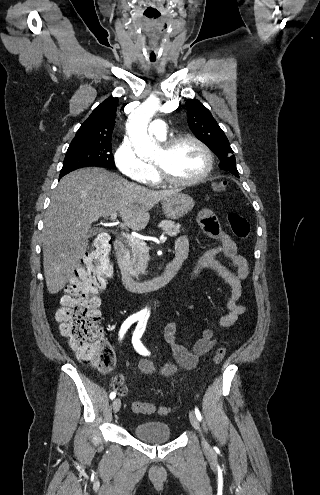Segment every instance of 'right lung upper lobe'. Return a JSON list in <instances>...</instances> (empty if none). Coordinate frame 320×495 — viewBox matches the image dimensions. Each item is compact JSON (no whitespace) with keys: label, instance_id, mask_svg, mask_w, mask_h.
Returning a JSON list of instances; mask_svg holds the SVG:
<instances>
[{"label":"right lung upper lobe","instance_id":"right-lung-upper-lobe-1","mask_svg":"<svg viewBox=\"0 0 320 495\" xmlns=\"http://www.w3.org/2000/svg\"><path fill=\"white\" fill-rule=\"evenodd\" d=\"M117 105V97H109L99 104L81 125L71 144L111 143Z\"/></svg>","mask_w":320,"mask_h":495}]
</instances>
